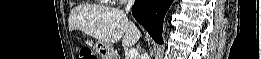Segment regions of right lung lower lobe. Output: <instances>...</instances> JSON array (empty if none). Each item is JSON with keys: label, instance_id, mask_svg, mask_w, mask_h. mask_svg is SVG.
Segmentation results:
<instances>
[{"label": "right lung lower lobe", "instance_id": "obj_1", "mask_svg": "<svg viewBox=\"0 0 261 59\" xmlns=\"http://www.w3.org/2000/svg\"><path fill=\"white\" fill-rule=\"evenodd\" d=\"M172 2L173 0H136L133 5L134 18L157 43H163V20Z\"/></svg>", "mask_w": 261, "mask_h": 59}]
</instances>
